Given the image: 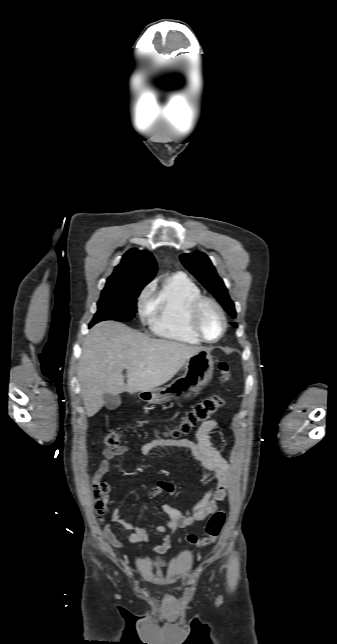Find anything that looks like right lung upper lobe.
Masks as SVG:
<instances>
[{"mask_svg":"<svg viewBox=\"0 0 337 644\" xmlns=\"http://www.w3.org/2000/svg\"><path fill=\"white\" fill-rule=\"evenodd\" d=\"M156 272V261L150 252L131 249L107 279L105 288L146 285Z\"/></svg>","mask_w":337,"mask_h":644,"instance_id":"obj_1","label":"right lung upper lobe"}]
</instances>
